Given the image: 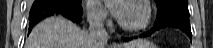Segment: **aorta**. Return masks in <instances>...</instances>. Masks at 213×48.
<instances>
[{"instance_id": "aorta-1", "label": "aorta", "mask_w": 213, "mask_h": 48, "mask_svg": "<svg viewBox=\"0 0 213 48\" xmlns=\"http://www.w3.org/2000/svg\"><path fill=\"white\" fill-rule=\"evenodd\" d=\"M106 3H112L113 0H104Z\"/></svg>"}]
</instances>
